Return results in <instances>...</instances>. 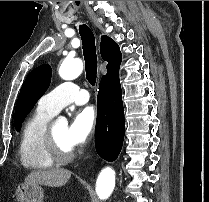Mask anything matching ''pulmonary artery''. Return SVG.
Returning <instances> with one entry per match:
<instances>
[{"label": "pulmonary artery", "instance_id": "1", "mask_svg": "<svg viewBox=\"0 0 209 202\" xmlns=\"http://www.w3.org/2000/svg\"><path fill=\"white\" fill-rule=\"evenodd\" d=\"M89 100V93L72 81H65L43 95L38 102L40 108L57 114L69 104L81 105Z\"/></svg>", "mask_w": 209, "mask_h": 202}]
</instances>
